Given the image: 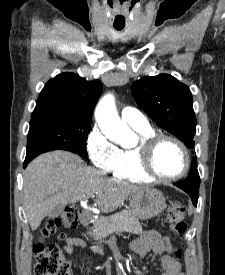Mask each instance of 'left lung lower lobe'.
Segmentation results:
<instances>
[{"instance_id": "0a47b994", "label": "left lung lower lobe", "mask_w": 225, "mask_h": 275, "mask_svg": "<svg viewBox=\"0 0 225 275\" xmlns=\"http://www.w3.org/2000/svg\"><path fill=\"white\" fill-rule=\"evenodd\" d=\"M174 185L184 190L191 197L193 204L195 206L197 205L200 180L188 178L186 180L174 183Z\"/></svg>"}]
</instances>
